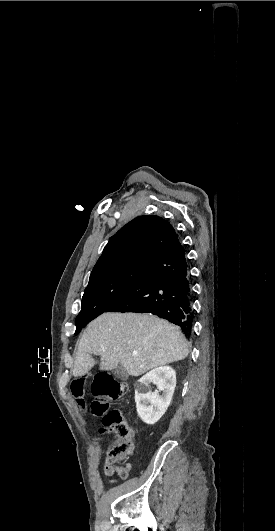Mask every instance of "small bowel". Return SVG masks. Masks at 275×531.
<instances>
[{
  "mask_svg": "<svg viewBox=\"0 0 275 531\" xmlns=\"http://www.w3.org/2000/svg\"><path fill=\"white\" fill-rule=\"evenodd\" d=\"M133 449H134V447H131V452H130V454L132 453ZM102 473H103L104 475H108V473H107V469H106L105 466H104L103 469H102ZM121 476H122V477H126V479L129 477V475H121Z\"/></svg>",
  "mask_w": 275,
  "mask_h": 531,
  "instance_id": "c3829d8e",
  "label": "small bowel"
}]
</instances>
